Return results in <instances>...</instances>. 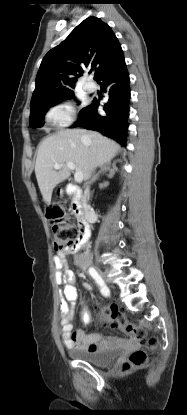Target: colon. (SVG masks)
<instances>
[{
	"mask_svg": "<svg viewBox=\"0 0 187 415\" xmlns=\"http://www.w3.org/2000/svg\"><path fill=\"white\" fill-rule=\"evenodd\" d=\"M48 216L51 223L54 249L59 252L75 247L80 240V229L71 220L66 210L61 206H53L49 209ZM102 315L108 327L120 330L147 349L154 350L158 347L159 341L155 336H148L143 327L129 322L116 307L105 308ZM146 359L145 350H134L123 363L122 372L126 373L143 365Z\"/></svg>",
	"mask_w": 187,
	"mask_h": 415,
	"instance_id": "5ec220e1",
	"label": "colon"
}]
</instances>
